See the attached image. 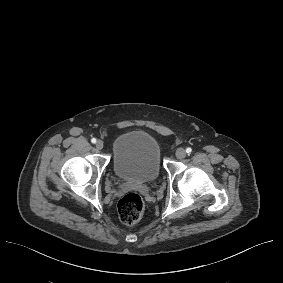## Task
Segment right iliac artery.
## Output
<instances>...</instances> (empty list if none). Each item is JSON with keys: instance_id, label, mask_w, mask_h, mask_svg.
Wrapping results in <instances>:
<instances>
[{"instance_id": "obj_1", "label": "right iliac artery", "mask_w": 283, "mask_h": 283, "mask_svg": "<svg viewBox=\"0 0 283 283\" xmlns=\"http://www.w3.org/2000/svg\"><path fill=\"white\" fill-rule=\"evenodd\" d=\"M91 142H92V143H96V139H95V138H92V139H91Z\"/></svg>"}]
</instances>
